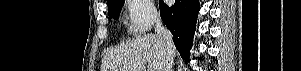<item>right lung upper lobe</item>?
<instances>
[{
	"mask_svg": "<svg viewBox=\"0 0 301 71\" xmlns=\"http://www.w3.org/2000/svg\"><path fill=\"white\" fill-rule=\"evenodd\" d=\"M110 1H112V0H107L108 3H109Z\"/></svg>",
	"mask_w": 301,
	"mask_h": 71,
	"instance_id": "1",
	"label": "right lung upper lobe"
}]
</instances>
